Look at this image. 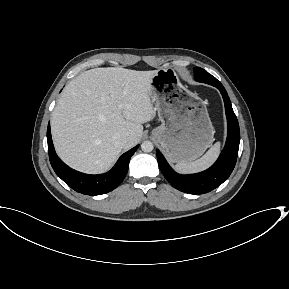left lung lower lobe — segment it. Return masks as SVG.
I'll return each instance as SVG.
<instances>
[{
	"instance_id": "left-lung-lower-lobe-1",
	"label": "left lung lower lobe",
	"mask_w": 289,
	"mask_h": 289,
	"mask_svg": "<svg viewBox=\"0 0 289 289\" xmlns=\"http://www.w3.org/2000/svg\"><path fill=\"white\" fill-rule=\"evenodd\" d=\"M217 88L225 103L228 123L226 144L217 161L201 173L180 175L169 166L160 151H156L158 164L165 178L173 187L185 193L203 194L212 191L230 176L236 164L240 142L239 124L225 88L223 86Z\"/></svg>"
}]
</instances>
